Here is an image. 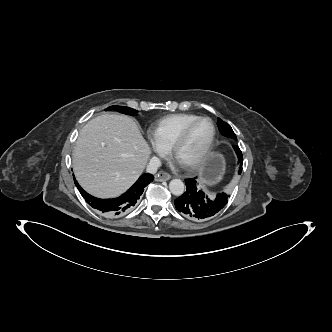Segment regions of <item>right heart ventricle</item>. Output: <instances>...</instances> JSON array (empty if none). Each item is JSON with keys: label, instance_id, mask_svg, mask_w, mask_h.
<instances>
[{"label": "right heart ventricle", "instance_id": "1", "mask_svg": "<svg viewBox=\"0 0 332 332\" xmlns=\"http://www.w3.org/2000/svg\"><path fill=\"white\" fill-rule=\"evenodd\" d=\"M200 116L195 114H172L154 124L151 134L168 150L183 128Z\"/></svg>", "mask_w": 332, "mask_h": 332}]
</instances>
